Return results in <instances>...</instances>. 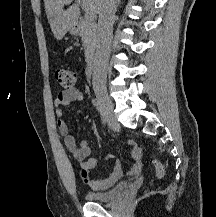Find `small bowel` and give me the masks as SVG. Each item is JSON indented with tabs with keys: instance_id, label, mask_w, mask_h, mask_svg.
I'll list each match as a JSON object with an SVG mask.
<instances>
[{
	"instance_id": "obj_1",
	"label": "small bowel",
	"mask_w": 216,
	"mask_h": 217,
	"mask_svg": "<svg viewBox=\"0 0 216 217\" xmlns=\"http://www.w3.org/2000/svg\"><path fill=\"white\" fill-rule=\"evenodd\" d=\"M85 95L82 89L74 87L71 90H63L58 93L54 105L57 115V128L59 133L64 138V145L72 156L78 161L81 169V176L84 183L94 190H103L112 187L123 176V165L120 160H116L112 166L110 174L103 179H94L90 176L89 171L93 169L98 160L90 157V147L86 140L77 143L75 137L70 134L69 127L63 119V107L70 106L73 103L81 102ZM129 147L132 151L133 162L128 172L129 176L135 177L142 169V162L138 154L134 153L136 144L130 143ZM112 155H107V158H112Z\"/></svg>"
}]
</instances>
